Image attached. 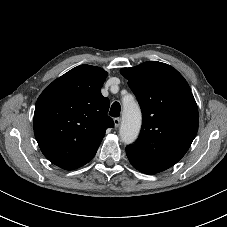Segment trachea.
Listing matches in <instances>:
<instances>
[{"label":"trachea","mask_w":227,"mask_h":227,"mask_svg":"<svg viewBox=\"0 0 227 227\" xmlns=\"http://www.w3.org/2000/svg\"><path fill=\"white\" fill-rule=\"evenodd\" d=\"M120 111H121L120 104L118 102H114L111 106L109 115L112 117H119Z\"/></svg>","instance_id":"obj_1"}]
</instances>
